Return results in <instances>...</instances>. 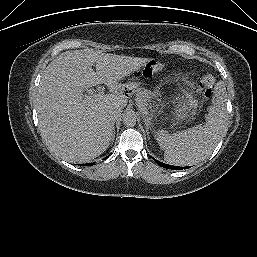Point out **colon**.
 I'll return each mask as SVG.
<instances>
[{"label": "colon", "instance_id": "colon-1", "mask_svg": "<svg viewBox=\"0 0 257 257\" xmlns=\"http://www.w3.org/2000/svg\"><path fill=\"white\" fill-rule=\"evenodd\" d=\"M165 67L158 61H150L145 64L139 72V75L143 78L152 77L162 71ZM216 83V77L212 74H206L203 76L200 82V88L205 98H210L212 95L213 87Z\"/></svg>", "mask_w": 257, "mask_h": 257}]
</instances>
